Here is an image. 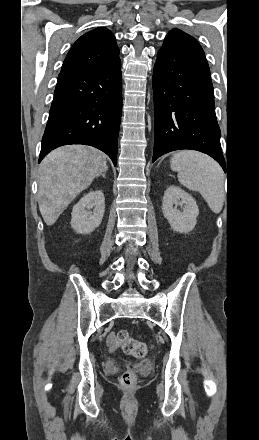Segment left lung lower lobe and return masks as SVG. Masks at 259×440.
<instances>
[{
  "mask_svg": "<svg viewBox=\"0 0 259 440\" xmlns=\"http://www.w3.org/2000/svg\"><path fill=\"white\" fill-rule=\"evenodd\" d=\"M155 138L152 162L174 150L208 154L226 171L210 69L199 43L167 35L153 74Z\"/></svg>",
  "mask_w": 259,
  "mask_h": 440,
  "instance_id": "1",
  "label": "left lung lower lobe"
}]
</instances>
